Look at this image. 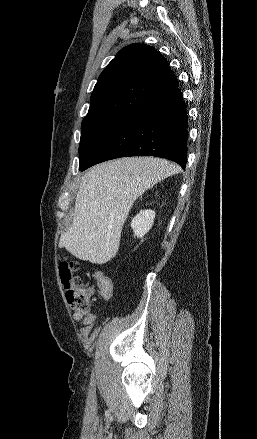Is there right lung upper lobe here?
I'll list each match as a JSON object with an SVG mask.
<instances>
[{"label": "right lung upper lobe", "mask_w": 257, "mask_h": 439, "mask_svg": "<svg viewBox=\"0 0 257 439\" xmlns=\"http://www.w3.org/2000/svg\"><path fill=\"white\" fill-rule=\"evenodd\" d=\"M177 87L160 53L149 45L132 44L119 51L99 76L87 116L130 117Z\"/></svg>", "instance_id": "cb5924a9"}]
</instances>
